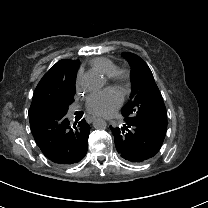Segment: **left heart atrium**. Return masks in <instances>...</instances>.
Segmentation results:
<instances>
[{"label":"left heart atrium","instance_id":"39dd6f15","mask_svg":"<svg viewBox=\"0 0 208 208\" xmlns=\"http://www.w3.org/2000/svg\"><path fill=\"white\" fill-rule=\"evenodd\" d=\"M85 109L97 116H106L115 108V102L106 97L97 94L89 95L84 102Z\"/></svg>","mask_w":208,"mask_h":208}]
</instances>
